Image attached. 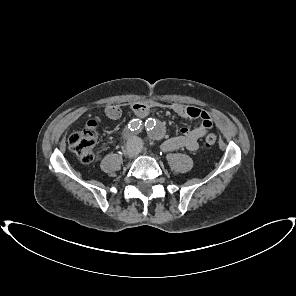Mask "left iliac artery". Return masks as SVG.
<instances>
[{"label": "left iliac artery", "mask_w": 296, "mask_h": 296, "mask_svg": "<svg viewBox=\"0 0 296 296\" xmlns=\"http://www.w3.org/2000/svg\"><path fill=\"white\" fill-rule=\"evenodd\" d=\"M148 126H149V123H147V121L145 122V127L147 128V130H149L148 129ZM152 129V128H151Z\"/></svg>", "instance_id": "left-iliac-artery-1"}]
</instances>
